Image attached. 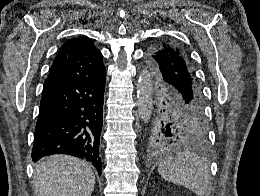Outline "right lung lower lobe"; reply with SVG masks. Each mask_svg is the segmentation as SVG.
Here are the masks:
<instances>
[{
	"instance_id": "98d812e1",
	"label": "right lung lower lobe",
	"mask_w": 260,
	"mask_h": 196,
	"mask_svg": "<svg viewBox=\"0 0 260 196\" xmlns=\"http://www.w3.org/2000/svg\"><path fill=\"white\" fill-rule=\"evenodd\" d=\"M105 75L42 95L33 162L52 154H67L92 162L101 175L99 144Z\"/></svg>"
}]
</instances>
